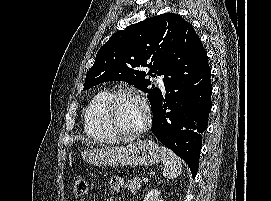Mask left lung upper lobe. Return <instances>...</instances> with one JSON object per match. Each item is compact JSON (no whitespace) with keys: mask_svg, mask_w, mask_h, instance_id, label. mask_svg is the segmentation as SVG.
<instances>
[{"mask_svg":"<svg viewBox=\"0 0 271 201\" xmlns=\"http://www.w3.org/2000/svg\"><path fill=\"white\" fill-rule=\"evenodd\" d=\"M195 33L180 15L166 13L148 18L113 34L101 46L87 72L84 90L106 81H125L149 94L153 115L161 90L147 76L164 75L171 66L172 48L180 36ZM149 67L150 72L142 70Z\"/></svg>","mask_w":271,"mask_h":201,"instance_id":"obj_1","label":"left lung upper lobe"}]
</instances>
